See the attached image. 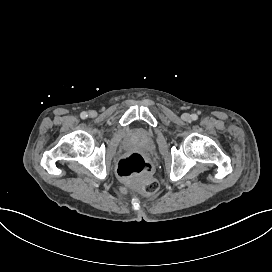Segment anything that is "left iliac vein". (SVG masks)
<instances>
[{
  "mask_svg": "<svg viewBox=\"0 0 272 272\" xmlns=\"http://www.w3.org/2000/svg\"><path fill=\"white\" fill-rule=\"evenodd\" d=\"M189 118H190V117H189V114H187V113H184V114H183V119H184V120L187 121V120H189Z\"/></svg>",
  "mask_w": 272,
  "mask_h": 272,
  "instance_id": "left-iliac-vein-1",
  "label": "left iliac vein"
}]
</instances>
